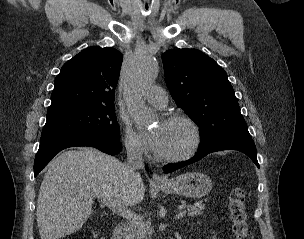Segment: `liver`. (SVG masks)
<instances>
[{
	"label": "liver",
	"instance_id": "obj_1",
	"mask_svg": "<svg viewBox=\"0 0 304 239\" xmlns=\"http://www.w3.org/2000/svg\"><path fill=\"white\" fill-rule=\"evenodd\" d=\"M144 194L141 176L127 177L117 158L93 148L65 151L49 164L40 186L36 216L41 239H61L81 229L95 198L134 206Z\"/></svg>",
	"mask_w": 304,
	"mask_h": 239
}]
</instances>
